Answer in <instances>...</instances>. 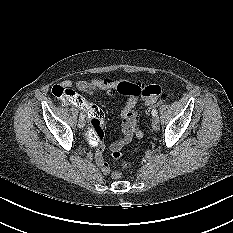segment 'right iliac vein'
I'll list each match as a JSON object with an SVG mask.
<instances>
[{
	"mask_svg": "<svg viewBox=\"0 0 233 233\" xmlns=\"http://www.w3.org/2000/svg\"><path fill=\"white\" fill-rule=\"evenodd\" d=\"M85 126V120L80 118L78 121V127L79 128H83Z\"/></svg>",
	"mask_w": 233,
	"mask_h": 233,
	"instance_id": "right-iliac-vein-1",
	"label": "right iliac vein"
}]
</instances>
